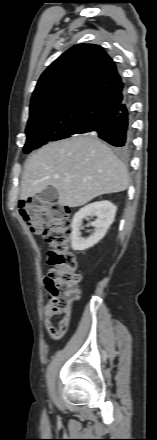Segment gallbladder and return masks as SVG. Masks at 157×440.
Masks as SVG:
<instances>
[{
  "label": "gallbladder",
  "mask_w": 157,
  "mask_h": 440,
  "mask_svg": "<svg viewBox=\"0 0 157 440\" xmlns=\"http://www.w3.org/2000/svg\"><path fill=\"white\" fill-rule=\"evenodd\" d=\"M39 198L46 202H52L58 198V192L54 187H48L39 193Z\"/></svg>",
  "instance_id": "bac80fb5"
}]
</instances>
